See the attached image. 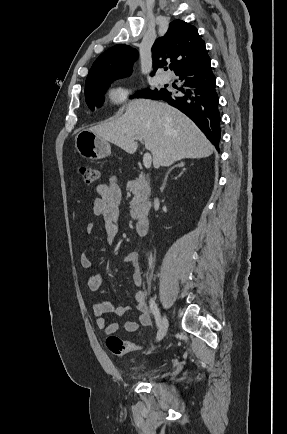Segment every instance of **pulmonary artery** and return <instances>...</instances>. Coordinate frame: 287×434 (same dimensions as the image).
Instances as JSON below:
<instances>
[{"instance_id":"1","label":"pulmonary artery","mask_w":287,"mask_h":434,"mask_svg":"<svg viewBox=\"0 0 287 434\" xmlns=\"http://www.w3.org/2000/svg\"><path fill=\"white\" fill-rule=\"evenodd\" d=\"M170 79H171V77L169 75H167V74H161V75L158 76V81L161 84L168 83L170 81Z\"/></svg>"}]
</instances>
